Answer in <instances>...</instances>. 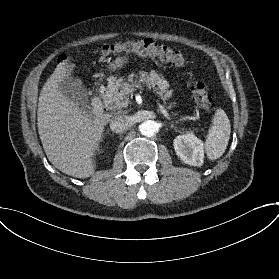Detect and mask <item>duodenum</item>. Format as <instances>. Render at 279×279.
<instances>
[{"mask_svg":"<svg viewBox=\"0 0 279 279\" xmlns=\"http://www.w3.org/2000/svg\"><path fill=\"white\" fill-rule=\"evenodd\" d=\"M91 112L99 116L103 112V104L99 96L95 95L91 100Z\"/></svg>","mask_w":279,"mask_h":279,"instance_id":"duodenum-1","label":"duodenum"}]
</instances>
